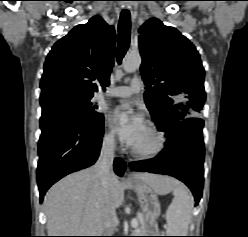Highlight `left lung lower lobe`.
I'll list each match as a JSON object with an SVG mask.
<instances>
[{
    "label": "left lung lower lobe",
    "instance_id": "0a47b994",
    "mask_svg": "<svg viewBox=\"0 0 248 237\" xmlns=\"http://www.w3.org/2000/svg\"><path fill=\"white\" fill-rule=\"evenodd\" d=\"M204 121L187 118L177 123L166 137L164 149L156 158L130 163L134 171L167 174L184 182L198 204L203 189Z\"/></svg>",
    "mask_w": 248,
    "mask_h": 237
}]
</instances>
